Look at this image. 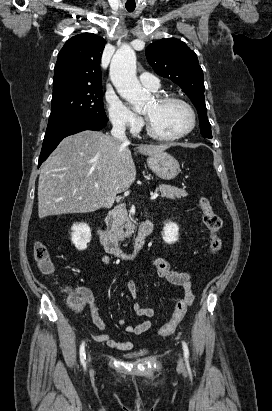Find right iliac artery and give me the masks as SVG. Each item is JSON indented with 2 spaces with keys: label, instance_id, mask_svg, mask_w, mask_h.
I'll return each instance as SVG.
<instances>
[{
  "label": "right iliac artery",
  "instance_id": "right-iliac-artery-1",
  "mask_svg": "<svg viewBox=\"0 0 272 411\" xmlns=\"http://www.w3.org/2000/svg\"><path fill=\"white\" fill-rule=\"evenodd\" d=\"M80 362L82 366L86 367V354H85V342H82L80 346Z\"/></svg>",
  "mask_w": 272,
  "mask_h": 411
}]
</instances>
